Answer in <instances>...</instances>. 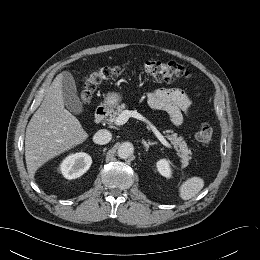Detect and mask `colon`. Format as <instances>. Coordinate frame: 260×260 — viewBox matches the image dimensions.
Here are the masks:
<instances>
[{
	"label": "colon",
	"mask_w": 260,
	"mask_h": 260,
	"mask_svg": "<svg viewBox=\"0 0 260 260\" xmlns=\"http://www.w3.org/2000/svg\"><path fill=\"white\" fill-rule=\"evenodd\" d=\"M120 66H102L88 71L80 90L82 102H87L92 97L95 89L102 82L117 77L123 73ZM140 71L153 80L165 83H174L189 77L188 70L173 61L149 60L140 66ZM196 138L203 144H208L213 139V130L207 123H201L196 130Z\"/></svg>",
	"instance_id": "5ec220e1"
}]
</instances>
